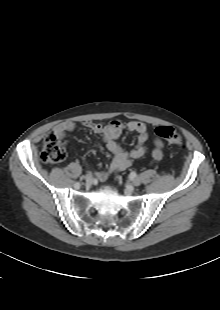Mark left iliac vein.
Listing matches in <instances>:
<instances>
[{"instance_id": "left-iliac-vein-1", "label": "left iliac vein", "mask_w": 220, "mask_h": 310, "mask_svg": "<svg viewBox=\"0 0 220 310\" xmlns=\"http://www.w3.org/2000/svg\"><path fill=\"white\" fill-rule=\"evenodd\" d=\"M141 184V179L136 177L134 179H132V185L133 186H139Z\"/></svg>"}]
</instances>
